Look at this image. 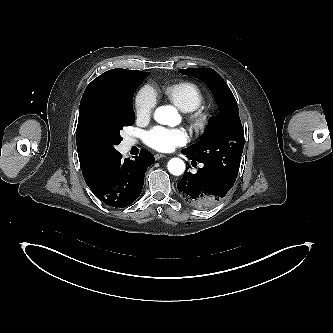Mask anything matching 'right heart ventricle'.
<instances>
[{"instance_id":"obj_1","label":"right heart ventricle","mask_w":333,"mask_h":333,"mask_svg":"<svg viewBox=\"0 0 333 333\" xmlns=\"http://www.w3.org/2000/svg\"><path fill=\"white\" fill-rule=\"evenodd\" d=\"M164 93L175 106L184 112H191L204 102L201 88L191 81L170 84L165 87Z\"/></svg>"}]
</instances>
